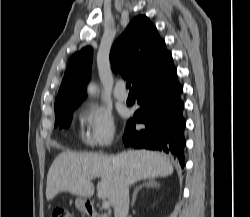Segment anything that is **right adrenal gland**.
Segmentation results:
<instances>
[{"mask_svg":"<svg viewBox=\"0 0 250 217\" xmlns=\"http://www.w3.org/2000/svg\"><path fill=\"white\" fill-rule=\"evenodd\" d=\"M154 187V188H158L159 184L157 182H155V180L153 179H149L147 182L143 183L142 185L138 186L135 188L133 196H132V203L131 206L133 207L137 198V194L138 192L144 187Z\"/></svg>","mask_w":250,"mask_h":217,"instance_id":"right-adrenal-gland-1","label":"right adrenal gland"}]
</instances>
